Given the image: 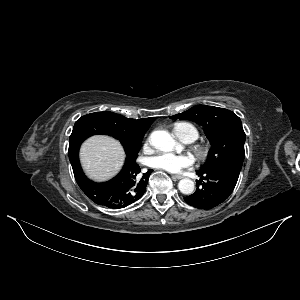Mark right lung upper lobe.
Instances as JSON below:
<instances>
[{
	"instance_id": "1",
	"label": "right lung upper lobe",
	"mask_w": 300,
	"mask_h": 300,
	"mask_svg": "<svg viewBox=\"0 0 300 300\" xmlns=\"http://www.w3.org/2000/svg\"><path fill=\"white\" fill-rule=\"evenodd\" d=\"M100 113L103 118L112 124L113 131L125 140L143 137L156 119V117H150L135 120L113 112L103 111Z\"/></svg>"
}]
</instances>
